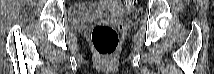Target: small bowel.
Returning a JSON list of instances; mask_svg holds the SVG:
<instances>
[{"mask_svg": "<svg viewBox=\"0 0 214 74\" xmlns=\"http://www.w3.org/2000/svg\"><path fill=\"white\" fill-rule=\"evenodd\" d=\"M109 3H116V2H111V1H110Z\"/></svg>", "mask_w": 214, "mask_h": 74, "instance_id": "c3829d8e", "label": "small bowel"}]
</instances>
